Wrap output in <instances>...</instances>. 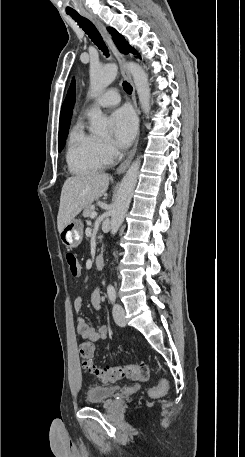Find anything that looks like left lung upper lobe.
I'll return each mask as SVG.
<instances>
[{"label": "left lung upper lobe", "mask_w": 245, "mask_h": 457, "mask_svg": "<svg viewBox=\"0 0 245 457\" xmlns=\"http://www.w3.org/2000/svg\"><path fill=\"white\" fill-rule=\"evenodd\" d=\"M108 31L113 36V40H114L115 44L117 45V47L119 48V50L122 53L127 54V53L131 52L133 54H137L135 49L130 47L128 45V43L126 42L125 38L122 35H120L116 30H114L113 28H108Z\"/></svg>", "instance_id": "1"}]
</instances>
